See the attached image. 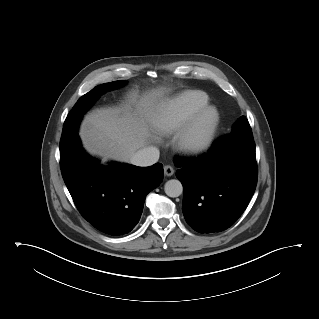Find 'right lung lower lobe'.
Returning a JSON list of instances; mask_svg holds the SVG:
<instances>
[{
  "label": "right lung lower lobe",
  "instance_id": "right-lung-lower-lobe-1",
  "mask_svg": "<svg viewBox=\"0 0 319 319\" xmlns=\"http://www.w3.org/2000/svg\"><path fill=\"white\" fill-rule=\"evenodd\" d=\"M98 163L83 151L78 134L60 149L62 176L82 216L103 233L123 235L139 222L146 195L162 182L163 166Z\"/></svg>",
  "mask_w": 319,
  "mask_h": 319
}]
</instances>
